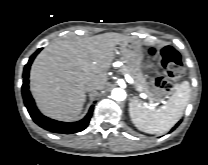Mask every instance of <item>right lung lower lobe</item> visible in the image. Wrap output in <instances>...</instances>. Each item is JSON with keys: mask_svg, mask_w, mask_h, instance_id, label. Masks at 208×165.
Listing matches in <instances>:
<instances>
[{"mask_svg": "<svg viewBox=\"0 0 208 165\" xmlns=\"http://www.w3.org/2000/svg\"><path fill=\"white\" fill-rule=\"evenodd\" d=\"M41 49L42 48L38 49L30 57L28 63L24 67L22 95H23L25 106L30 116L34 120V122L38 124L40 127L48 131H52L55 133H67V134L80 132L84 130L89 124V121L93 112V105L91 106L85 118L74 123L59 122V121L47 118L39 112V110L37 109L35 105V102L29 91V70H30L31 63L33 62L35 56L41 51Z\"/></svg>", "mask_w": 208, "mask_h": 165, "instance_id": "right-lung-lower-lobe-1", "label": "right lung lower lobe"}]
</instances>
